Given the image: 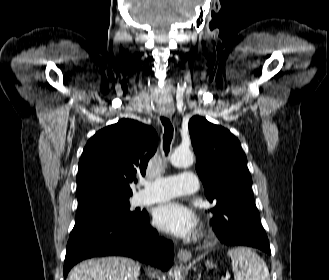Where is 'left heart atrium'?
<instances>
[{
    "instance_id": "39dd6f15",
    "label": "left heart atrium",
    "mask_w": 329,
    "mask_h": 280,
    "mask_svg": "<svg viewBox=\"0 0 329 280\" xmlns=\"http://www.w3.org/2000/svg\"><path fill=\"white\" fill-rule=\"evenodd\" d=\"M154 221L159 229L177 237L189 238L196 232L195 215L179 202L159 206Z\"/></svg>"
}]
</instances>
